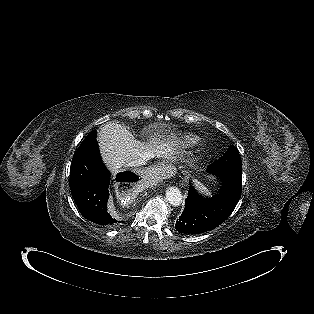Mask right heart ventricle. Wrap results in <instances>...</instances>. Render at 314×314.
<instances>
[{"label":"right heart ventricle","instance_id":"e07e8e85","mask_svg":"<svg viewBox=\"0 0 314 314\" xmlns=\"http://www.w3.org/2000/svg\"><path fill=\"white\" fill-rule=\"evenodd\" d=\"M192 141V138L189 136L184 137L183 140H181L182 144H189Z\"/></svg>","mask_w":314,"mask_h":314}]
</instances>
